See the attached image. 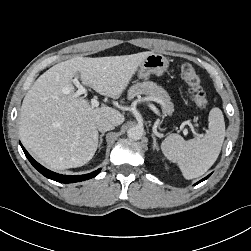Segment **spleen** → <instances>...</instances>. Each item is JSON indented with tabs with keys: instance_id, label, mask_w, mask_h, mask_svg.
Masks as SVG:
<instances>
[{
	"instance_id": "obj_1",
	"label": "spleen",
	"mask_w": 251,
	"mask_h": 251,
	"mask_svg": "<svg viewBox=\"0 0 251 251\" xmlns=\"http://www.w3.org/2000/svg\"><path fill=\"white\" fill-rule=\"evenodd\" d=\"M208 130L202 139L185 141L178 134H170L162 143L164 156L177 163L186 179L202 176L217 160L225 138L222 111L212 108L208 116Z\"/></svg>"
}]
</instances>
